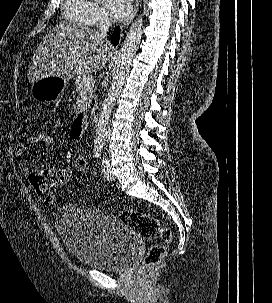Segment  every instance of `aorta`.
<instances>
[{
  "label": "aorta",
  "mask_w": 272,
  "mask_h": 303,
  "mask_svg": "<svg viewBox=\"0 0 272 303\" xmlns=\"http://www.w3.org/2000/svg\"><path fill=\"white\" fill-rule=\"evenodd\" d=\"M143 18L139 16L129 29L123 44L121 46L114 80L102 103L99 119L96 127L95 143L103 145L106 141L107 129L112 109L116 99L120 95L125 83V79L129 74L131 63L141 42L143 33Z\"/></svg>",
  "instance_id": "1"
}]
</instances>
